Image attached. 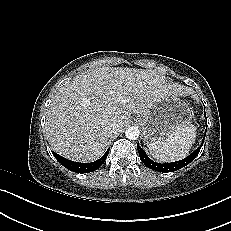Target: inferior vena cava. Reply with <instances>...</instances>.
Segmentation results:
<instances>
[{
	"instance_id": "602c4592",
	"label": "inferior vena cava",
	"mask_w": 231,
	"mask_h": 231,
	"mask_svg": "<svg viewBox=\"0 0 231 231\" xmlns=\"http://www.w3.org/2000/svg\"><path fill=\"white\" fill-rule=\"evenodd\" d=\"M107 131H108V133H110L112 135H115V134H117L119 132V129L117 128L116 125H109L107 127Z\"/></svg>"
}]
</instances>
